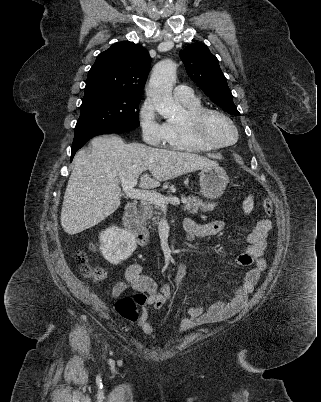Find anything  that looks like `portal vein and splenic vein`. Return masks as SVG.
Listing matches in <instances>:
<instances>
[{
  "label": "portal vein and splenic vein",
  "instance_id": "18ae733b",
  "mask_svg": "<svg viewBox=\"0 0 321 402\" xmlns=\"http://www.w3.org/2000/svg\"><path fill=\"white\" fill-rule=\"evenodd\" d=\"M137 182L138 181L136 178L121 180L123 191L129 198L148 200L161 207H166L169 203L174 205L180 204V200L177 197H165L162 194L154 191L135 189L134 187L137 185Z\"/></svg>",
  "mask_w": 321,
  "mask_h": 402
}]
</instances>
